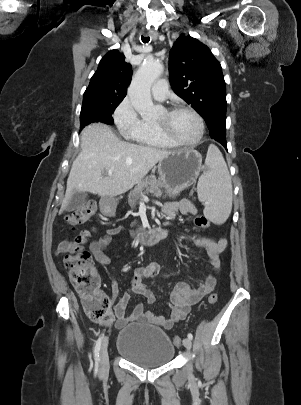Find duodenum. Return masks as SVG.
<instances>
[{"label": "duodenum", "instance_id": "obj_1", "mask_svg": "<svg viewBox=\"0 0 301 405\" xmlns=\"http://www.w3.org/2000/svg\"><path fill=\"white\" fill-rule=\"evenodd\" d=\"M112 195L111 193L109 194ZM100 207L105 219H112L115 212V203L112 197H105L100 200ZM169 230L164 227H156L154 229L142 232L137 236L138 241L143 245H152L167 237Z\"/></svg>", "mask_w": 301, "mask_h": 405}]
</instances>
